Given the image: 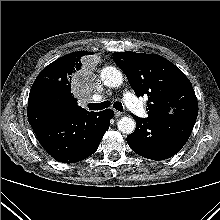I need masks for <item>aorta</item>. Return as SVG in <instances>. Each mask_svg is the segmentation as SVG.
Masks as SVG:
<instances>
[{"instance_id": "obj_1", "label": "aorta", "mask_w": 220, "mask_h": 220, "mask_svg": "<svg viewBox=\"0 0 220 220\" xmlns=\"http://www.w3.org/2000/svg\"><path fill=\"white\" fill-rule=\"evenodd\" d=\"M100 77L104 85L108 87L116 88L123 83L122 73L112 66L103 68ZM117 126L123 134H131L135 130L136 122L133 118L124 116L118 121Z\"/></svg>"}]
</instances>
